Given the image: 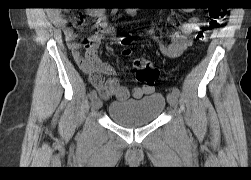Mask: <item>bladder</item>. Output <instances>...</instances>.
Returning <instances> with one entry per match:
<instances>
[{
    "label": "bladder",
    "instance_id": "obj_1",
    "mask_svg": "<svg viewBox=\"0 0 251 180\" xmlns=\"http://www.w3.org/2000/svg\"><path fill=\"white\" fill-rule=\"evenodd\" d=\"M165 106V97L161 93H153L140 100L113 101L108 107V115L120 126L136 128L157 120Z\"/></svg>",
    "mask_w": 251,
    "mask_h": 180
}]
</instances>
